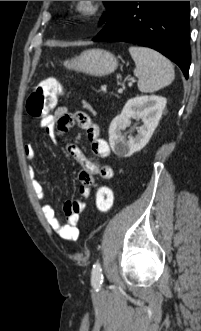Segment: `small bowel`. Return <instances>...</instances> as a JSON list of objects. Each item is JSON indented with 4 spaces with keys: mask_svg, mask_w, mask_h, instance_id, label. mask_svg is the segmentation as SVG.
Wrapping results in <instances>:
<instances>
[{
    "mask_svg": "<svg viewBox=\"0 0 201 331\" xmlns=\"http://www.w3.org/2000/svg\"><path fill=\"white\" fill-rule=\"evenodd\" d=\"M74 125L83 129L86 137L91 144L93 154L101 159H107L110 156V147L108 143L100 137L98 125L84 112L78 111L70 113L67 107L61 106L53 114H49L41 119V126L46 134L55 143L58 137L67 132ZM66 150L80 164L79 180L81 186L79 193L82 199L69 200L64 205L66 223L62 224L53 207L46 203V194L43 185L37 178L36 170L29 166L28 174L31 179L33 190L42 203V210L46 221L50 227L63 239L74 241L79 236V219L80 214L85 209L86 199L91 194L95 176L101 179L109 180L113 177V168L108 164H97L89 160L83 152L74 144L68 143ZM24 154L27 161L32 162L35 159L36 151L32 144L24 147Z\"/></svg>",
    "mask_w": 201,
    "mask_h": 331,
    "instance_id": "obj_1",
    "label": "small bowel"
}]
</instances>
